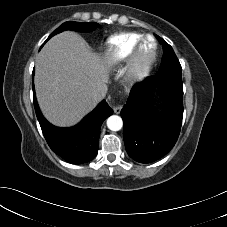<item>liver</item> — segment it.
<instances>
[{
	"mask_svg": "<svg viewBox=\"0 0 227 227\" xmlns=\"http://www.w3.org/2000/svg\"><path fill=\"white\" fill-rule=\"evenodd\" d=\"M108 81L106 62L75 32L54 36L36 57L37 100L44 116L55 125L80 121L97 104L92 93Z\"/></svg>",
	"mask_w": 227,
	"mask_h": 227,
	"instance_id": "liver-1",
	"label": "liver"
}]
</instances>
